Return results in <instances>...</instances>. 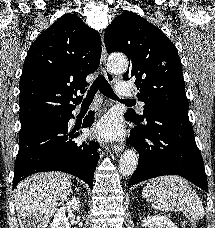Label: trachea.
Instances as JSON below:
<instances>
[{
    "mask_svg": "<svg viewBox=\"0 0 215 228\" xmlns=\"http://www.w3.org/2000/svg\"><path fill=\"white\" fill-rule=\"evenodd\" d=\"M98 90H100V92L108 98L117 99L116 94L113 92L106 78H104L102 74H99L96 80L91 85L90 89L88 90L83 103H91L93 101L95 93ZM123 102L128 105L135 104L133 100H123Z\"/></svg>",
    "mask_w": 215,
    "mask_h": 228,
    "instance_id": "3493384b",
    "label": "trachea"
}]
</instances>
